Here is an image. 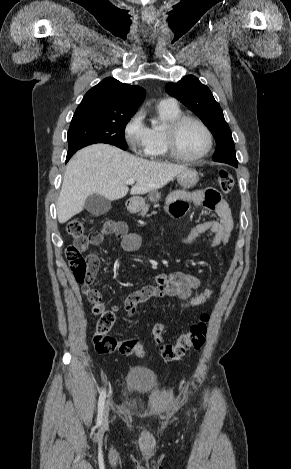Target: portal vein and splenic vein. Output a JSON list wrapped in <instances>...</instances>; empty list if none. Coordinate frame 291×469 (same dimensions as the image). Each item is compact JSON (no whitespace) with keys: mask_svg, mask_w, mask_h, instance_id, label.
Masks as SVG:
<instances>
[{"mask_svg":"<svg viewBox=\"0 0 291 469\" xmlns=\"http://www.w3.org/2000/svg\"><path fill=\"white\" fill-rule=\"evenodd\" d=\"M134 182H135L134 179H128V180L126 181V184L132 185V184H134Z\"/></svg>","mask_w":291,"mask_h":469,"instance_id":"1","label":"portal vein and splenic vein"}]
</instances>
